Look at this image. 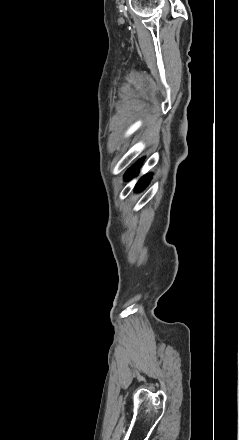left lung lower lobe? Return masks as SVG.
Segmentation results:
<instances>
[{"label": "left lung lower lobe", "instance_id": "1", "mask_svg": "<svg viewBox=\"0 0 239 440\" xmlns=\"http://www.w3.org/2000/svg\"><path fill=\"white\" fill-rule=\"evenodd\" d=\"M143 160H144L143 158L140 159L131 168H129L127 170V172H126V174L124 176L125 179H131L132 177H134L137 174L138 169H139L140 165L142 164ZM150 179H151V175L150 174L145 175L143 178H141L139 180V182L137 183V185H136L135 191L143 190L146 187V185L149 184Z\"/></svg>", "mask_w": 239, "mask_h": 440}]
</instances>
